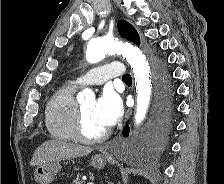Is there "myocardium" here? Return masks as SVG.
I'll use <instances>...</instances> for the list:
<instances>
[{
	"label": "myocardium",
	"mask_w": 224,
	"mask_h": 184,
	"mask_svg": "<svg viewBox=\"0 0 224 184\" xmlns=\"http://www.w3.org/2000/svg\"><path fill=\"white\" fill-rule=\"evenodd\" d=\"M74 132L76 140L87 143V144H96L101 143L106 140L110 134L109 130L104 131L98 136L90 137L84 132L83 126V111L80 104H77L74 118Z\"/></svg>",
	"instance_id": "obj_1"
}]
</instances>
